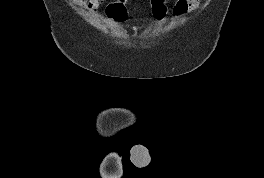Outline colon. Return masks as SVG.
<instances>
[{
  "mask_svg": "<svg viewBox=\"0 0 264 178\" xmlns=\"http://www.w3.org/2000/svg\"><path fill=\"white\" fill-rule=\"evenodd\" d=\"M127 0H114L108 3L105 7L107 18L116 24L125 22L128 18ZM168 0H151L150 12L151 16L156 21L165 19L168 13Z\"/></svg>",
  "mask_w": 264,
  "mask_h": 178,
  "instance_id": "5ec220e1",
  "label": "colon"
}]
</instances>
